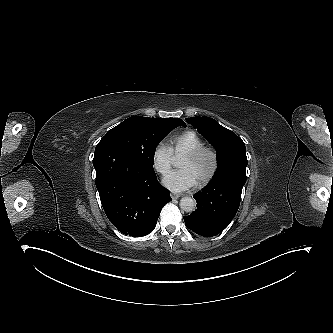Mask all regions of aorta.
Wrapping results in <instances>:
<instances>
[{
    "mask_svg": "<svg viewBox=\"0 0 333 333\" xmlns=\"http://www.w3.org/2000/svg\"><path fill=\"white\" fill-rule=\"evenodd\" d=\"M180 208L185 212H192L196 208V201L191 197H183L180 200Z\"/></svg>",
    "mask_w": 333,
    "mask_h": 333,
    "instance_id": "1",
    "label": "aorta"
}]
</instances>
